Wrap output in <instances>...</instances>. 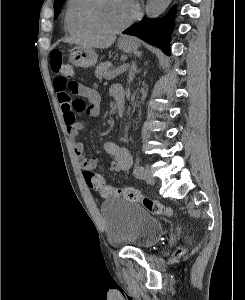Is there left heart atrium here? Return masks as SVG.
<instances>
[{"mask_svg":"<svg viewBox=\"0 0 245 300\" xmlns=\"http://www.w3.org/2000/svg\"><path fill=\"white\" fill-rule=\"evenodd\" d=\"M129 2L131 3V5L133 6V8L135 9L136 5H135L134 0H129Z\"/></svg>","mask_w":245,"mask_h":300,"instance_id":"obj_1","label":"left heart atrium"}]
</instances>
